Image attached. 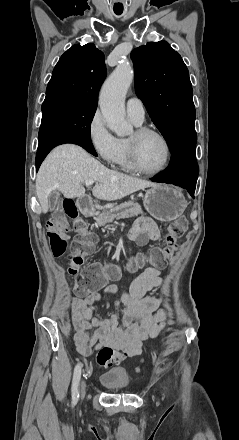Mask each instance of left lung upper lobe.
<instances>
[{
  "label": "left lung upper lobe",
  "mask_w": 239,
  "mask_h": 440,
  "mask_svg": "<svg viewBox=\"0 0 239 440\" xmlns=\"http://www.w3.org/2000/svg\"><path fill=\"white\" fill-rule=\"evenodd\" d=\"M135 90L170 149L197 137L189 72L181 56L166 41L134 49Z\"/></svg>",
  "instance_id": "obj_1"
}]
</instances>
